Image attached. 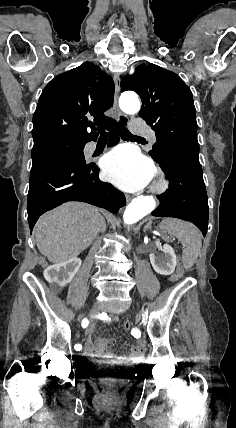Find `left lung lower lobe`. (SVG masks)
Segmentation results:
<instances>
[{"label":"left lung lower lobe","instance_id":"0a47b994","mask_svg":"<svg viewBox=\"0 0 236 428\" xmlns=\"http://www.w3.org/2000/svg\"><path fill=\"white\" fill-rule=\"evenodd\" d=\"M161 167L170 181V186L165 193L158 196L160 204L152 215L190 221L206 235L209 207L201 165L167 158Z\"/></svg>","mask_w":236,"mask_h":428}]
</instances>
